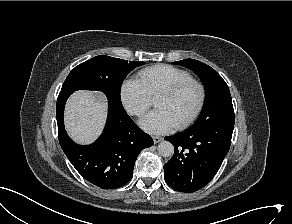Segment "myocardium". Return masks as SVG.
<instances>
[{
    "instance_id": "obj_1",
    "label": "myocardium",
    "mask_w": 292,
    "mask_h": 224,
    "mask_svg": "<svg viewBox=\"0 0 292 224\" xmlns=\"http://www.w3.org/2000/svg\"><path fill=\"white\" fill-rule=\"evenodd\" d=\"M189 86L197 87V89L199 91V102H198L197 107L193 111V113L186 120H184L183 122H181L175 126L177 130H183V129L189 127L199 117V115L203 111L205 103H206V98H207V92H206V88H205L204 84L199 80H196L194 78H190V79L178 82L172 86H169V87L163 89L156 96V99L160 98V97L171 98V97L178 95L179 93H181L183 90H185Z\"/></svg>"
}]
</instances>
